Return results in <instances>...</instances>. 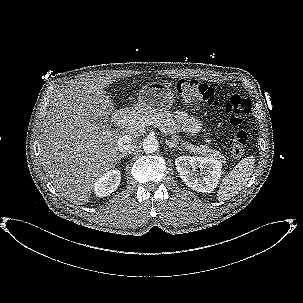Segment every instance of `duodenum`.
Returning <instances> with one entry per match:
<instances>
[{
  "mask_svg": "<svg viewBox=\"0 0 303 303\" xmlns=\"http://www.w3.org/2000/svg\"><path fill=\"white\" fill-rule=\"evenodd\" d=\"M125 115H126L125 111H123V110L117 111V112L114 113V115L112 117V121L115 124H119L124 120Z\"/></svg>",
  "mask_w": 303,
  "mask_h": 303,
  "instance_id": "1",
  "label": "duodenum"
}]
</instances>
